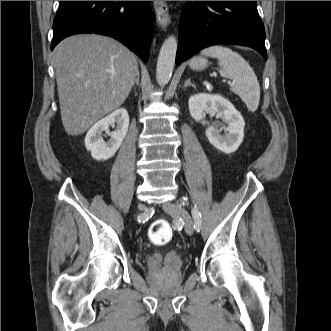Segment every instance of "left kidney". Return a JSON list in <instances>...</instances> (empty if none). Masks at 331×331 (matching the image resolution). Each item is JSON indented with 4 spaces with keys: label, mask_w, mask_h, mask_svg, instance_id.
<instances>
[{
    "label": "left kidney",
    "mask_w": 331,
    "mask_h": 331,
    "mask_svg": "<svg viewBox=\"0 0 331 331\" xmlns=\"http://www.w3.org/2000/svg\"><path fill=\"white\" fill-rule=\"evenodd\" d=\"M188 105L192 118L197 122L203 120L206 113L217 114L228 122L224 135L215 126L206 129V136L214 147L226 154L238 149L244 138L245 121L231 102L219 94L201 93L191 96Z\"/></svg>",
    "instance_id": "5707ae66"
}]
</instances>
